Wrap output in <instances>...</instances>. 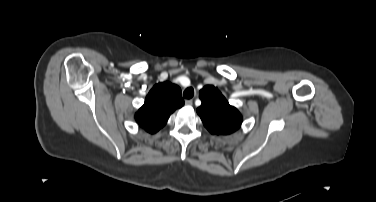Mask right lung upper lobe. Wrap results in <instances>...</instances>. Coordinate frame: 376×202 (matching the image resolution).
<instances>
[{"mask_svg": "<svg viewBox=\"0 0 376 202\" xmlns=\"http://www.w3.org/2000/svg\"><path fill=\"white\" fill-rule=\"evenodd\" d=\"M184 105L181 89L170 82L158 83L146 96L135 120L145 131L154 134L165 126L170 115Z\"/></svg>", "mask_w": 376, "mask_h": 202, "instance_id": "1", "label": "right lung upper lobe"}]
</instances>
